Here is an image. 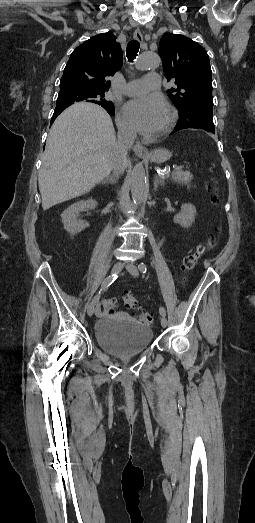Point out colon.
Segmentation results:
<instances>
[{
  "instance_id": "1",
  "label": "colon",
  "mask_w": 255,
  "mask_h": 523,
  "mask_svg": "<svg viewBox=\"0 0 255 523\" xmlns=\"http://www.w3.org/2000/svg\"><path fill=\"white\" fill-rule=\"evenodd\" d=\"M215 201H217V198H215ZM219 232V230H216L215 234H211L207 241L201 243L194 251L190 252L183 260L182 263V271L184 273H188L191 271L195 265L198 263V261L213 247L216 241V234ZM124 304L125 306L133 310L134 317L144 325H150L153 322V314L149 312H136V309L138 307V301L137 299L131 295V294H125L124 295ZM102 312L106 314L113 313L117 310L118 304L117 302L112 298H104L102 301Z\"/></svg>"
}]
</instances>
